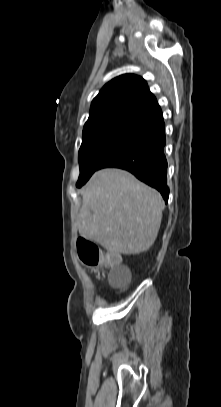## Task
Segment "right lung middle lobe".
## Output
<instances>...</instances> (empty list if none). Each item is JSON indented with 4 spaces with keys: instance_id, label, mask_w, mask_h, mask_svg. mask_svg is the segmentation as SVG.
Masks as SVG:
<instances>
[{
    "instance_id": "right-lung-middle-lobe-1",
    "label": "right lung middle lobe",
    "mask_w": 221,
    "mask_h": 407,
    "mask_svg": "<svg viewBox=\"0 0 221 407\" xmlns=\"http://www.w3.org/2000/svg\"><path fill=\"white\" fill-rule=\"evenodd\" d=\"M139 126L117 125L95 130L83 136L79 150L80 175L76 186L84 185L102 162Z\"/></svg>"
}]
</instances>
